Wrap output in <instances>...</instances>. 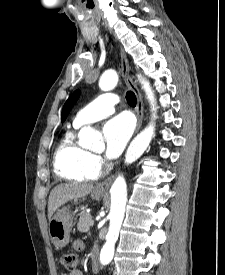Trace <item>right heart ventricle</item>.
<instances>
[{
    "mask_svg": "<svg viewBox=\"0 0 225 275\" xmlns=\"http://www.w3.org/2000/svg\"><path fill=\"white\" fill-rule=\"evenodd\" d=\"M79 126L74 125L77 129ZM54 169L62 178L71 181H89L97 178L94 156L76 140L74 131H68L54 153Z\"/></svg>",
    "mask_w": 225,
    "mask_h": 275,
    "instance_id": "1",
    "label": "right heart ventricle"
}]
</instances>
